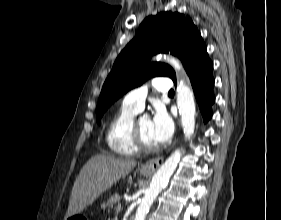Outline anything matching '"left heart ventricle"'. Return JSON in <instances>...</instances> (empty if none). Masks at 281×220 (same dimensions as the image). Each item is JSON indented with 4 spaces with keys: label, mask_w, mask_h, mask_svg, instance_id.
Returning a JSON list of instances; mask_svg holds the SVG:
<instances>
[{
    "label": "left heart ventricle",
    "mask_w": 281,
    "mask_h": 220,
    "mask_svg": "<svg viewBox=\"0 0 281 220\" xmlns=\"http://www.w3.org/2000/svg\"><path fill=\"white\" fill-rule=\"evenodd\" d=\"M139 130L143 141L150 146H155L158 143L154 140L151 132V121L149 119H142L138 121Z\"/></svg>",
    "instance_id": "left-heart-ventricle-1"
}]
</instances>
